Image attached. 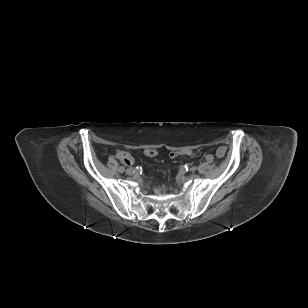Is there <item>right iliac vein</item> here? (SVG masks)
Wrapping results in <instances>:
<instances>
[{
  "mask_svg": "<svg viewBox=\"0 0 308 308\" xmlns=\"http://www.w3.org/2000/svg\"><path fill=\"white\" fill-rule=\"evenodd\" d=\"M132 171H133L132 169H127V170H126V173H127V174H132Z\"/></svg>",
  "mask_w": 308,
  "mask_h": 308,
  "instance_id": "right-iliac-vein-1",
  "label": "right iliac vein"
}]
</instances>
